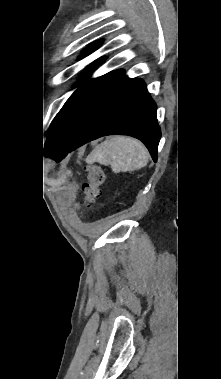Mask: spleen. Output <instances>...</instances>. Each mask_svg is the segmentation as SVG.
Instances as JSON below:
<instances>
[{
    "label": "spleen",
    "instance_id": "spleen-1",
    "mask_svg": "<svg viewBox=\"0 0 221 379\" xmlns=\"http://www.w3.org/2000/svg\"><path fill=\"white\" fill-rule=\"evenodd\" d=\"M148 158V151L140 141L116 136L96 146L86 162L110 165L113 172L119 173L133 172L143 168L148 163Z\"/></svg>",
    "mask_w": 221,
    "mask_h": 379
}]
</instances>
